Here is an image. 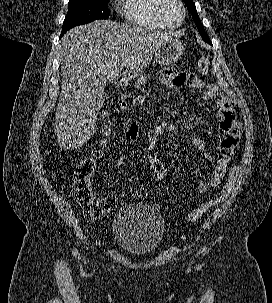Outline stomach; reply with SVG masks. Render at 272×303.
I'll return each instance as SVG.
<instances>
[{
    "label": "stomach",
    "instance_id": "obj_1",
    "mask_svg": "<svg viewBox=\"0 0 272 303\" xmlns=\"http://www.w3.org/2000/svg\"><path fill=\"white\" fill-rule=\"evenodd\" d=\"M183 44L174 37L162 41L155 53V62L160 65H169L177 62L183 54Z\"/></svg>",
    "mask_w": 272,
    "mask_h": 303
}]
</instances>
